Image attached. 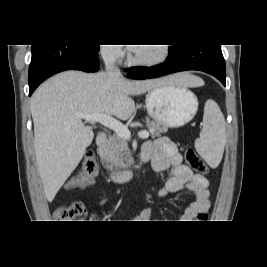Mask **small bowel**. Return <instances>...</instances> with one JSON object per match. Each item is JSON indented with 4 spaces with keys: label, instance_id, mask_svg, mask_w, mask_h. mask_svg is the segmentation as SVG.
<instances>
[{
    "label": "small bowel",
    "instance_id": "c3829d8e",
    "mask_svg": "<svg viewBox=\"0 0 267 267\" xmlns=\"http://www.w3.org/2000/svg\"><path fill=\"white\" fill-rule=\"evenodd\" d=\"M142 157H146L152 164L155 172H169V178L163 188L158 191V196L163 198L171 193L179 192L183 189L191 191L194 202L188 207L181 217L182 222H189L196 214L205 212L210 207V193L208 191V180L193 171L182 162V156L177 151L175 144L166 137L147 141L143 144ZM92 182L81 184L75 178L70 186L81 187ZM153 212L151 209L144 210L138 219L141 222H152Z\"/></svg>",
    "mask_w": 267,
    "mask_h": 267
}]
</instances>
